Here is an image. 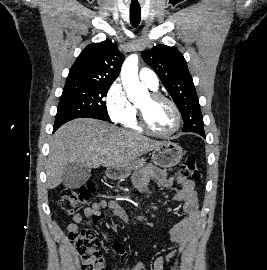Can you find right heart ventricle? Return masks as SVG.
Masks as SVG:
<instances>
[{"instance_id": "e07e8e85", "label": "right heart ventricle", "mask_w": 267, "mask_h": 270, "mask_svg": "<svg viewBox=\"0 0 267 270\" xmlns=\"http://www.w3.org/2000/svg\"><path fill=\"white\" fill-rule=\"evenodd\" d=\"M124 126L132 131L136 132H143V129L140 127L137 119L136 110L134 111V114L132 117H130L126 122L123 123Z\"/></svg>"}]
</instances>
